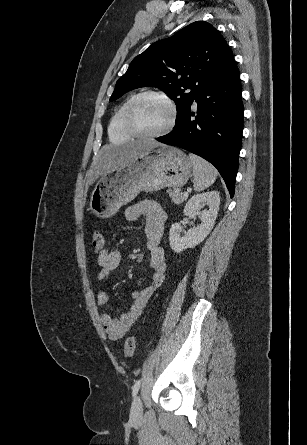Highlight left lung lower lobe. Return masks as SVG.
<instances>
[{
  "mask_svg": "<svg viewBox=\"0 0 307 445\" xmlns=\"http://www.w3.org/2000/svg\"><path fill=\"white\" fill-rule=\"evenodd\" d=\"M242 89L234 58L195 98L197 116L190 110L167 135L156 138L201 156L220 172L230 196L235 190L243 131ZM191 109V108H190Z\"/></svg>",
  "mask_w": 307,
  "mask_h": 445,
  "instance_id": "0a47b994",
  "label": "left lung lower lobe"
}]
</instances>
